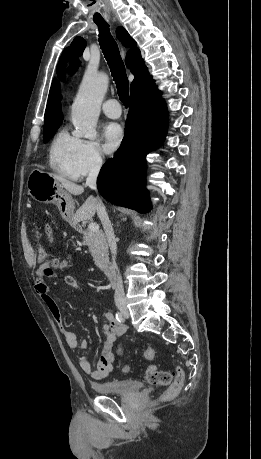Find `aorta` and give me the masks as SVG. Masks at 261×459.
Returning a JSON list of instances; mask_svg holds the SVG:
<instances>
[{
  "label": "aorta",
  "mask_w": 261,
  "mask_h": 459,
  "mask_svg": "<svg viewBox=\"0 0 261 459\" xmlns=\"http://www.w3.org/2000/svg\"><path fill=\"white\" fill-rule=\"evenodd\" d=\"M109 78L104 73L86 74L72 105V123L79 137L94 139L101 103L108 89Z\"/></svg>",
  "instance_id": "1"
}]
</instances>
